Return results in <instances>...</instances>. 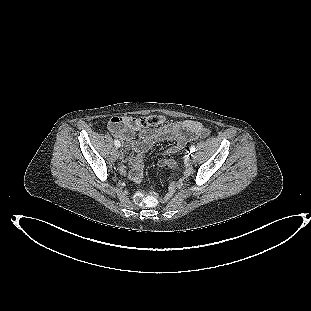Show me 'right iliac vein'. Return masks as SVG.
Segmentation results:
<instances>
[{
  "instance_id": "63e3f726",
  "label": "right iliac vein",
  "mask_w": 311,
  "mask_h": 311,
  "mask_svg": "<svg viewBox=\"0 0 311 311\" xmlns=\"http://www.w3.org/2000/svg\"><path fill=\"white\" fill-rule=\"evenodd\" d=\"M112 155H113L114 157H117V156H118V150H117V148H115V149L112 150Z\"/></svg>"
}]
</instances>
